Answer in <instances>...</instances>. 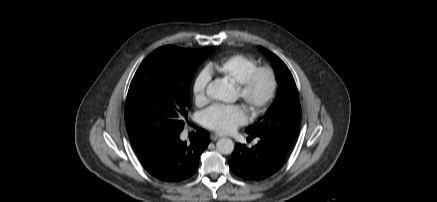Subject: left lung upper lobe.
Segmentation results:
<instances>
[{"label":"left lung upper lobe","instance_id":"obj_1","mask_svg":"<svg viewBox=\"0 0 437 202\" xmlns=\"http://www.w3.org/2000/svg\"><path fill=\"white\" fill-rule=\"evenodd\" d=\"M259 50L272 62L279 88L272 106L246 132L271 140L288 151L296 137L301 117L297 87L291 72L280 58L261 46Z\"/></svg>","mask_w":437,"mask_h":202}]
</instances>
